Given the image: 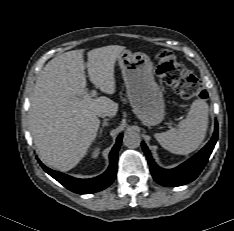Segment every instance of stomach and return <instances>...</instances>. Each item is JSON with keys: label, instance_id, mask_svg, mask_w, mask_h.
Masks as SVG:
<instances>
[{"label": "stomach", "instance_id": "obj_1", "mask_svg": "<svg viewBox=\"0 0 234 231\" xmlns=\"http://www.w3.org/2000/svg\"><path fill=\"white\" fill-rule=\"evenodd\" d=\"M133 112L147 126L159 124L165 116L161 87L153 75L150 57L142 52H121L117 58Z\"/></svg>", "mask_w": 234, "mask_h": 231}]
</instances>
